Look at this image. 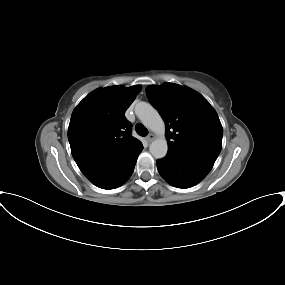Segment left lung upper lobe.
I'll list each match as a JSON object with an SVG mask.
<instances>
[{"instance_id": "1", "label": "left lung upper lobe", "mask_w": 285, "mask_h": 285, "mask_svg": "<svg viewBox=\"0 0 285 285\" xmlns=\"http://www.w3.org/2000/svg\"><path fill=\"white\" fill-rule=\"evenodd\" d=\"M146 94L165 121L168 153L213 166L221 151L223 128L209 102L174 83L148 86Z\"/></svg>"}]
</instances>
